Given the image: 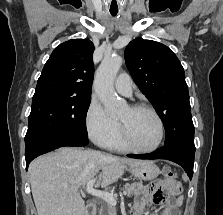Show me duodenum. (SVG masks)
Listing matches in <instances>:
<instances>
[{
	"label": "duodenum",
	"instance_id": "duodenum-1",
	"mask_svg": "<svg viewBox=\"0 0 223 215\" xmlns=\"http://www.w3.org/2000/svg\"><path fill=\"white\" fill-rule=\"evenodd\" d=\"M84 215H96V208L93 201H88L84 210Z\"/></svg>",
	"mask_w": 223,
	"mask_h": 215
}]
</instances>
